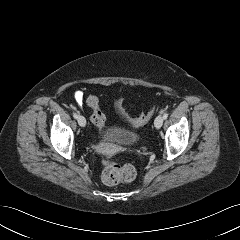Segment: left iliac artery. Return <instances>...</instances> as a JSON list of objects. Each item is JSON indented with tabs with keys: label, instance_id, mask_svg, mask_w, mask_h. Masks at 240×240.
Returning <instances> with one entry per match:
<instances>
[{
	"label": "left iliac artery",
	"instance_id": "1",
	"mask_svg": "<svg viewBox=\"0 0 240 240\" xmlns=\"http://www.w3.org/2000/svg\"><path fill=\"white\" fill-rule=\"evenodd\" d=\"M167 117H168V113H164L163 118L167 119Z\"/></svg>",
	"mask_w": 240,
	"mask_h": 240
}]
</instances>
